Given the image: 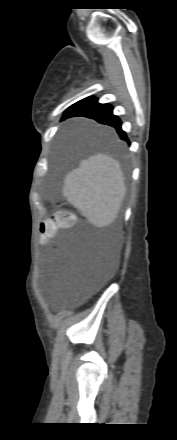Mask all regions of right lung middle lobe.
I'll use <instances>...</instances> for the list:
<instances>
[{"label":"right lung middle lobe","instance_id":"1","mask_svg":"<svg viewBox=\"0 0 177 440\" xmlns=\"http://www.w3.org/2000/svg\"><path fill=\"white\" fill-rule=\"evenodd\" d=\"M94 102H95L94 99H92V98H87V99H83V100H81V101H79V102L73 104L72 106H70V107L66 110V112H65V114H64V116H63V118L69 117V116L72 115L73 113L80 111L81 109H83V108H85V107H87V106L93 104ZM102 135H103L102 132H96V131H93V132H91V133L89 134V138H90L91 141H101V136H102Z\"/></svg>","mask_w":177,"mask_h":440}]
</instances>
